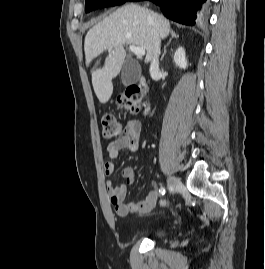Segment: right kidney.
I'll use <instances>...</instances> for the list:
<instances>
[{"instance_id":"right-kidney-1","label":"right kidney","mask_w":265,"mask_h":269,"mask_svg":"<svg viewBox=\"0 0 265 269\" xmlns=\"http://www.w3.org/2000/svg\"><path fill=\"white\" fill-rule=\"evenodd\" d=\"M173 60L175 62V64L177 66H179L182 69H186L187 68V59H186V55H185V50L183 47H179L175 53H174V57Z\"/></svg>"}]
</instances>
